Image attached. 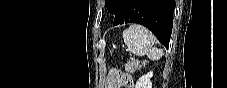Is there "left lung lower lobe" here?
I'll use <instances>...</instances> for the list:
<instances>
[{"label": "left lung lower lobe", "instance_id": "1", "mask_svg": "<svg viewBox=\"0 0 227 88\" xmlns=\"http://www.w3.org/2000/svg\"><path fill=\"white\" fill-rule=\"evenodd\" d=\"M175 0H119L114 25L137 23L152 31L166 48L173 26Z\"/></svg>", "mask_w": 227, "mask_h": 88}]
</instances>
